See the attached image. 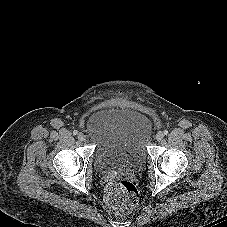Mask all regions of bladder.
Masks as SVG:
<instances>
[{
  "mask_svg": "<svg viewBox=\"0 0 227 227\" xmlns=\"http://www.w3.org/2000/svg\"><path fill=\"white\" fill-rule=\"evenodd\" d=\"M149 126V117L131 107L110 105L92 112L85 129L95 147V168L105 174L142 165Z\"/></svg>",
  "mask_w": 227,
  "mask_h": 227,
  "instance_id": "31cf9c89",
  "label": "bladder"
}]
</instances>
